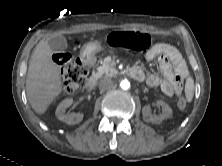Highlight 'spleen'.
Masks as SVG:
<instances>
[{
	"instance_id": "3e777b00",
	"label": "spleen",
	"mask_w": 222,
	"mask_h": 166,
	"mask_svg": "<svg viewBox=\"0 0 222 166\" xmlns=\"http://www.w3.org/2000/svg\"><path fill=\"white\" fill-rule=\"evenodd\" d=\"M194 96V80L192 77H188L185 83V97L188 102H191Z\"/></svg>"
}]
</instances>
